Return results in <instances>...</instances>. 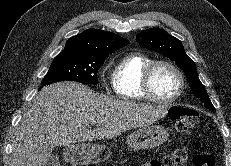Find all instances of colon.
Here are the masks:
<instances>
[{"label": "colon", "mask_w": 231, "mask_h": 166, "mask_svg": "<svg viewBox=\"0 0 231 166\" xmlns=\"http://www.w3.org/2000/svg\"><path fill=\"white\" fill-rule=\"evenodd\" d=\"M168 116L175 123L178 131L189 132L198 121V112L191 108H171ZM187 153L184 149H176L168 154L162 162L158 160L147 161L142 166H186ZM193 166H214V158L207 152H198L192 160Z\"/></svg>", "instance_id": "colon-1"}]
</instances>
